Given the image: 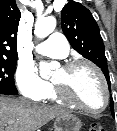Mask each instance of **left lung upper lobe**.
<instances>
[{
	"label": "left lung upper lobe",
	"mask_w": 117,
	"mask_h": 131,
	"mask_svg": "<svg viewBox=\"0 0 117 131\" xmlns=\"http://www.w3.org/2000/svg\"><path fill=\"white\" fill-rule=\"evenodd\" d=\"M61 25L71 46L101 68L111 91L104 44L91 12L80 3L70 1L62 10ZM111 109L114 110L112 99ZM112 115L114 116V112Z\"/></svg>",
	"instance_id": "1"
}]
</instances>
